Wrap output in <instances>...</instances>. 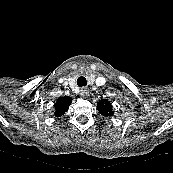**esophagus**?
I'll return each mask as SVG.
<instances>
[{
    "instance_id": "34e87169",
    "label": "esophagus",
    "mask_w": 173,
    "mask_h": 173,
    "mask_svg": "<svg viewBox=\"0 0 173 173\" xmlns=\"http://www.w3.org/2000/svg\"><path fill=\"white\" fill-rule=\"evenodd\" d=\"M88 90H87V88H81V90H80V95L82 96V97H86L87 95H88Z\"/></svg>"
}]
</instances>
